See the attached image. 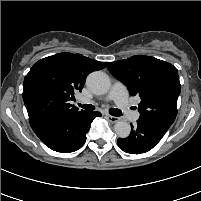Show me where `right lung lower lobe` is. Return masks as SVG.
<instances>
[{"label": "right lung lower lobe", "instance_id": "obj_1", "mask_svg": "<svg viewBox=\"0 0 201 201\" xmlns=\"http://www.w3.org/2000/svg\"><path fill=\"white\" fill-rule=\"evenodd\" d=\"M96 116H101V113L84 111L72 117L43 116L30 120V125L50 149L70 153L83 146L86 133Z\"/></svg>", "mask_w": 201, "mask_h": 201}]
</instances>
